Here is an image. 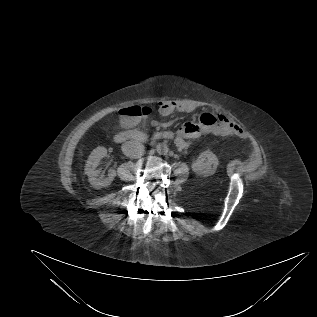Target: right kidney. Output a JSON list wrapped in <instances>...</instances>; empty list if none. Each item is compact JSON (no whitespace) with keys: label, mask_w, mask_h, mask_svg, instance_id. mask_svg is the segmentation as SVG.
<instances>
[{"label":"right kidney","mask_w":317,"mask_h":317,"mask_svg":"<svg viewBox=\"0 0 317 317\" xmlns=\"http://www.w3.org/2000/svg\"><path fill=\"white\" fill-rule=\"evenodd\" d=\"M106 155V148L99 146L91 152L88 160L86 161L85 174L88 176L89 182L94 188H102L109 186L112 183L114 177L116 176L115 170H111L107 177H104V175L100 174L97 170V166L99 165L100 160L104 158Z\"/></svg>","instance_id":"obj_1"}]
</instances>
